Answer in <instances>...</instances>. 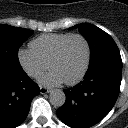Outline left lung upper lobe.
<instances>
[{"instance_id": "5c2ea615", "label": "left lung upper lobe", "mask_w": 128, "mask_h": 128, "mask_svg": "<svg viewBox=\"0 0 128 128\" xmlns=\"http://www.w3.org/2000/svg\"><path fill=\"white\" fill-rule=\"evenodd\" d=\"M72 28H78L87 39L91 50L90 63L106 55L120 54L112 37L97 26L83 23Z\"/></svg>"}]
</instances>
